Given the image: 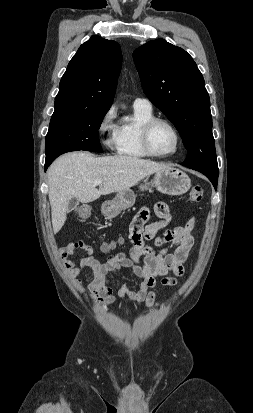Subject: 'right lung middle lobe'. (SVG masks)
Returning <instances> with one entry per match:
<instances>
[{"instance_id": "obj_1", "label": "right lung middle lobe", "mask_w": 253, "mask_h": 413, "mask_svg": "<svg viewBox=\"0 0 253 413\" xmlns=\"http://www.w3.org/2000/svg\"><path fill=\"white\" fill-rule=\"evenodd\" d=\"M107 111L52 116L45 140L46 160L70 151L103 152L98 129Z\"/></svg>"}]
</instances>
